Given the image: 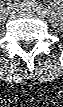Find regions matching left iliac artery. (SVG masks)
<instances>
[{
    "label": "left iliac artery",
    "instance_id": "left-iliac-artery-1",
    "mask_svg": "<svg viewBox=\"0 0 63 107\" xmlns=\"http://www.w3.org/2000/svg\"><path fill=\"white\" fill-rule=\"evenodd\" d=\"M15 5L16 6H27L30 9L34 10L35 12H37L38 14H40L44 17L48 16L50 14L49 9H47L46 7H43L42 5H40L34 1L25 0L24 2H21V1L17 0Z\"/></svg>",
    "mask_w": 63,
    "mask_h": 107
}]
</instances>
